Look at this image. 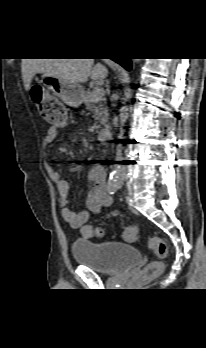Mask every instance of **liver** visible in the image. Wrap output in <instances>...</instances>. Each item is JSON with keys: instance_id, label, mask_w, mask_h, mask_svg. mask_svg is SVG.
<instances>
[{"instance_id": "obj_1", "label": "liver", "mask_w": 206, "mask_h": 348, "mask_svg": "<svg viewBox=\"0 0 206 348\" xmlns=\"http://www.w3.org/2000/svg\"><path fill=\"white\" fill-rule=\"evenodd\" d=\"M21 71L27 91L38 73H47L77 84L87 82L89 77L94 81L103 80L108 75L104 65H94V59H23Z\"/></svg>"}]
</instances>
